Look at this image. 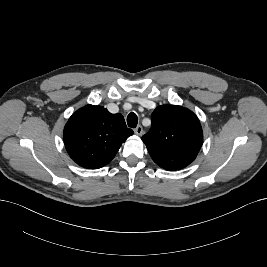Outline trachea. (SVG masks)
Returning a JSON list of instances; mask_svg holds the SVG:
<instances>
[{
  "label": "trachea",
  "instance_id": "trachea-1",
  "mask_svg": "<svg viewBox=\"0 0 267 267\" xmlns=\"http://www.w3.org/2000/svg\"><path fill=\"white\" fill-rule=\"evenodd\" d=\"M138 123V117L134 112L129 113L127 116V124L131 128H135Z\"/></svg>",
  "mask_w": 267,
  "mask_h": 267
}]
</instances>
